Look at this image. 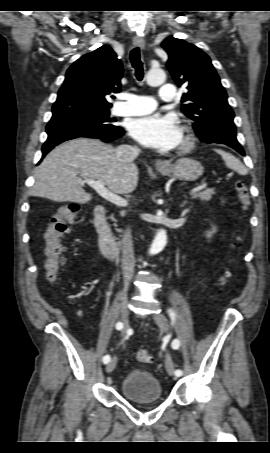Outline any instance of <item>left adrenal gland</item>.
Returning a JSON list of instances; mask_svg holds the SVG:
<instances>
[{
	"instance_id": "obj_1",
	"label": "left adrenal gland",
	"mask_w": 270,
	"mask_h": 453,
	"mask_svg": "<svg viewBox=\"0 0 270 453\" xmlns=\"http://www.w3.org/2000/svg\"><path fill=\"white\" fill-rule=\"evenodd\" d=\"M185 204H186V201H184V202L181 204V206L183 207Z\"/></svg>"
}]
</instances>
